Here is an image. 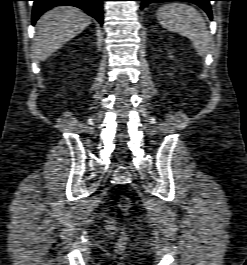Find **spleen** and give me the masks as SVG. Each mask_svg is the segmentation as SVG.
<instances>
[{
	"label": "spleen",
	"instance_id": "spleen-1",
	"mask_svg": "<svg viewBox=\"0 0 247 265\" xmlns=\"http://www.w3.org/2000/svg\"><path fill=\"white\" fill-rule=\"evenodd\" d=\"M156 15L165 29L187 37L200 56L206 55L211 36L205 20L194 7L184 3H169L159 8Z\"/></svg>",
	"mask_w": 247,
	"mask_h": 265
}]
</instances>
